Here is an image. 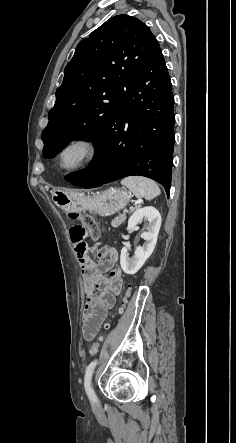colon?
<instances>
[{"instance_id":"colon-1","label":"colon","mask_w":236,"mask_h":443,"mask_svg":"<svg viewBox=\"0 0 236 443\" xmlns=\"http://www.w3.org/2000/svg\"><path fill=\"white\" fill-rule=\"evenodd\" d=\"M69 217L72 220L78 221L79 224L70 229V236L74 241H79L78 245L80 251L86 250V245L83 243L86 237L96 238L99 234V228L94 217L89 214H79L77 212H69ZM109 327V323L105 324V328ZM102 342V336H99L89 347L88 353L93 356L99 352Z\"/></svg>"}]
</instances>
